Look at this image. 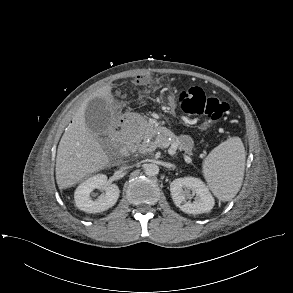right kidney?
<instances>
[{
    "label": "right kidney",
    "mask_w": 293,
    "mask_h": 293,
    "mask_svg": "<svg viewBox=\"0 0 293 293\" xmlns=\"http://www.w3.org/2000/svg\"><path fill=\"white\" fill-rule=\"evenodd\" d=\"M94 189H104L105 194L93 200L90 195ZM119 193L117 185L108 184L106 175L98 174L88 178L76 188L74 199L80 210L87 213H100L115 205Z\"/></svg>",
    "instance_id": "obj_1"
}]
</instances>
